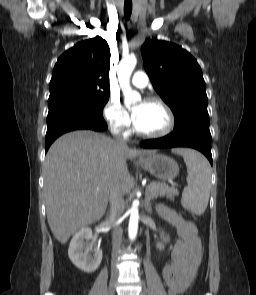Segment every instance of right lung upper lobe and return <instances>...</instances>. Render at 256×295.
Returning a JSON list of instances; mask_svg holds the SVG:
<instances>
[{
    "mask_svg": "<svg viewBox=\"0 0 256 295\" xmlns=\"http://www.w3.org/2000/svg\"><path fill=\"white\" fill-rule=\"evenodd\" d=\"M110 49L97 36L63 53L54 66L49 101L64 96L109 95Z\"/></svg>",
    "mask_w": 256,
    "mask_h": 295,
    "instance_id": "obj_1",
    "label": "right lung upper lobe"
}]
</instances>
